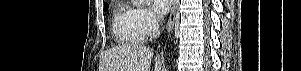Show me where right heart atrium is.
<instances>
[{
	"label": "right heart atrium",
	"instance_id": "right-heart-atrium-1",
	"mask_svg": "<svg viewBox=\"0 0 301 71\" xmlns=\"http://www.w3.org/2000/svg\"><path fill=\"white\" fill-rule=\"evenodd\" d=\"M137 19L146 37L154 36L160 27L159 17L148 8H140L137 10Z\"/></svg>",
	"mask_w": 301,
	"mask_h": 71
}]
</instances>
